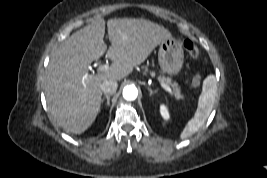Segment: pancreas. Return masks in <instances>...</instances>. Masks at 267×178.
Listing matches in <instances>:
<instances>
[{"mask_svg": "<svg viewBox=\"0 0 267 178\" xmlns=\"http://www.w3.org/2000/svg\"><path fill=\"white\" fill-rule=\"evenodd\" d=\"M154 74V73H152ZM159 81L172 86V94L176 99H183V95L181 94V90L178 87V84L176 82H173L171 78L169 77H158Z\"/></svg>", "mask_w": 267, "mask_h": 178, "instance_id": "pancreas-1", "label": "pancreas"}]
</instances>
